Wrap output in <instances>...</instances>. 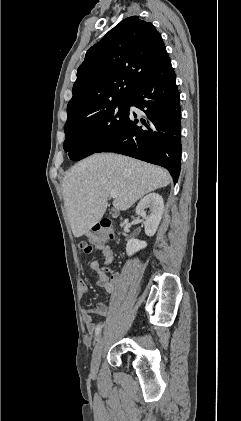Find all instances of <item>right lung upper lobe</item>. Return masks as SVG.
Segmentation results:
<instances>
[{
	"label": "right lung upper lobe",
	"mask_w": 241,
	"mask_h": 421,
	"mask_svg": "<svg viewBox=\"0 0 241 421\" xmlns=\"http://www.w3.org/2000/svg\"><path fill=\"white\" fill-rule=\"evenodd\" d=\"M168 57L160 33L138 16L124 19L92 46L77 71L64 127L129 100Z\"/></svg>",
	"instance_id": "cb5924a9"
}]
</instances>
